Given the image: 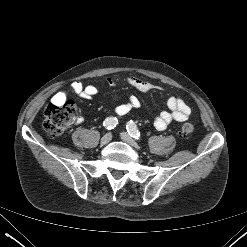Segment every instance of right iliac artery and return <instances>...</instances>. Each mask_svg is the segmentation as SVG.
Wrapping results in <instances>:
<instances>
[{"label": "right iliac artery", "instance_id": "82829eb1", "mask_svg": "<svg viewBox=\"0 0 247 247\" xmlns=\"http://www.w3.org/2000/svg\"><path fill=\"white\" fill-rule=\"evenodd\" d=\"M117 124H118V120H117L116 117L115 118L114 117H110V118H107L104 121V126L108 130H111V129L115 128Z\"/></svg>", "mask_w": 247, "mask_h": 247}]
</instances>
